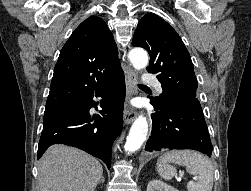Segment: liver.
<instances>
[{"instance_id": "liver-1", "label": "liver", "mask_w": 251, "mask_h": 191, "mask_svg": "<svg viewBox=\"0 0 251 191\" xmlns=\"http://www.w3.org/2000/svg\"><path fill=\"white\" fill-rule=\"evenodd\" d=\"M102 173L96 157L77 147L55 143L39 161L40 191H94Z\"/></svg>"}]
</instances>
